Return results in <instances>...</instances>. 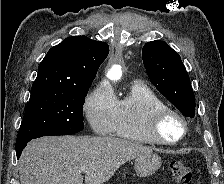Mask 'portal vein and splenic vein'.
Here are the masks:
<instances>
[{"label":"portal vein and splenic vein","instance_id":"obj_1","mask_svg":"<svg viewBox=\"0 0 224 184\" xmlns=\"http://www.w3.org/2000/svg\"><path fill=\"white\" fill-rule=\"evenodd\" d=\"M81 172H87V168L86 167H82L81 168Z\"/></svg>","mask_w":224,"mask_h":184}]
</instances>
